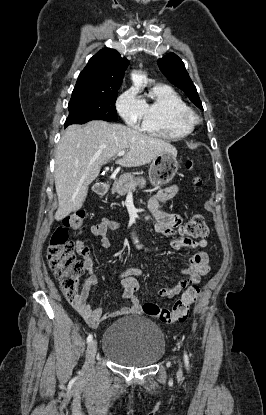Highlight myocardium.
Returning a JSON list of instances; mask_svg holds the SVG:
<instances>
[{
	"label": "myocardium",
	"instance_id": "1",
	"mask_svg": "<svg viewBox=\"0 0 266 415\" xmlns=\"http://www.w3.org/2000/svg\"><path fill=\"white\" fill-rule=\"evenodd\" d=\"M183 120H185L187 123L194 125L199 122V116L197 113L191 109L187 108L186 111L182 115Z\"/></svg>",
	"mask_w": 266,
	"mask_h": 415
}]
</instances>
